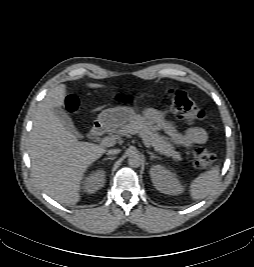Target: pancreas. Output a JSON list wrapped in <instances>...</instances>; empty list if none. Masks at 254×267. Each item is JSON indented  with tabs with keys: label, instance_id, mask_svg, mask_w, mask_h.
<instances>
[{
	"label": "pancreas",
	"instance_id": "1",
	"mask_svg": "<svg viewBox=\"0 0 254 267\" xmlns=\"http://www.w3.org/2000/svg\"><path fill=\"white\" fill-rule=\"evenodd\" d=\"M118 135L138 134L143 140L154 147L155 151L167 157H172L175 161H181V155L175 151L174 146L160 135L148 122L140 115L130 123L124 125L119 130H113Z\"/></svg>",
	"mask_w": 254,
	"mask_h": 267
}]
</instances>
